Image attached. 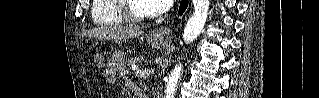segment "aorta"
<instances>
[{
    "instance_id": "762f6f07",
    "label": "aorta",
    "mask_w": 319,
    "mask_h": 98,
    "mask_svg": "<svg viewBox=\"0 0 319 98\" xmlns=\"http://www.w3.org/2000/svg\"><path fill=\"white\" fill-rule=\"evenodd\" d=\"M194 12L187 21L183 32V40L186 44L193 42L201 33L205 26L208 11L209 0H193ZM182 73V65L179 64L171 72L165 90V98H174L177 84Z\"/></svg>"
}]
</instances>
